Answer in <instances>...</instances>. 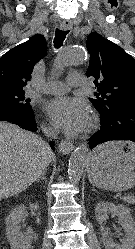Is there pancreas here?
Segmentation results:
<instances>
[{
    "label": "pancreas",
    "mask_w": 135,
    "mask_h": 249,
    "mask_svg": "<svg viewBox=\"0 0 135 249\" xmlns=\"http://www.w3.org/2000/svg\"><path fill=\"white\" fill-rule=\"evenodd\" d=\"M123 200L126 201L127 203H130V204L135 203V197H132V196H126L123 198Z\"/></svg>",
    "instance_id": "pancreas-1"
}]
</instances>
